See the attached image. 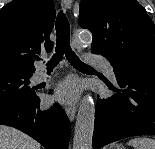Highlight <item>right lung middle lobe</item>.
I'll list each match as a JSON object with an SVG mask.
<instances>
[{"instance_id": "1", "label": "right lung middle lobe", "mask_w": 155, "mask_h": 149, "mask_svg": "<svg viewBox=\"0 0 155 149\" xmlns=\"http://www.w3.org/2000/svg\"><path fill=\"white\" fill-rule=\"evenodd\" d=\"M32 74L0 67V100H28L36 94L29 86Z\"/></svg>"}]
</instances>
